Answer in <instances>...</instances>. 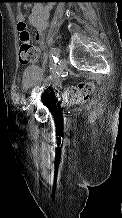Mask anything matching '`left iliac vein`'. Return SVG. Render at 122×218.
<instances>
[{
    "mask_svg": "<svg viewBox=\"0 0 122 218\" xmlns=\"http://www.w3.org/2000/svg\"><path fill=\"white\" fill-rule=\"evenodd\" d=\"M66 66H67L66 60L64 58H61L60 61H59V69H60V71H63L66 68ZM59 80H60L59 76L58 75H54V77L51 80V83H50L49 86L56 87L58 85V83H59ZM35 104H36V101L32 102L28 106V108L26 109L28 115H30L33 112Z\"/></svg>",
    "mask_w": 122,
    "mask_h": 218,
    "instance_id": "obj_1",
    "label": "left iliac vein"
}]
</instances>
